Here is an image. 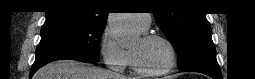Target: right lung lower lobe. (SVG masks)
Segmentation results:
<instances>
[{"label":"right lung lower lobe","mask_w":255,"mask_h":79,"mask_svg":"<svg viewBox=\"0 0 255 79\" xmlns=\"http://www.w3.org/2000/svg\"><path fill=\"white\" fill-rule=\"evenodd\" d=\"M64 59H69V60H77V61H81V62H85V63H93V61L90 60H86L83 58H79V57H74V56H67V55H56V56H48V57H44L41 59H35V62L31 68L30 71V77L33 76V74L42 66H44L47 63H50L52 61L55 60H64Z\"/></svg>","instance_id":"1"}]
</instances>
